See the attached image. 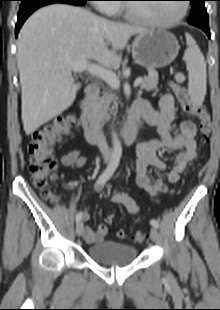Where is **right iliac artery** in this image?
<instances>
[{
  "label": "right iliac artery",
  "mask_w": 220,
  "mask_h": 310,
  "mask_svg": "<svg viewBox=\"0 0 220 310\" xmlns=\"http://www.w3.org/2000/svg\"><path fill=\"white\" fill-rule=\"evenodd\" d=\"M120 157H121V149L119 148L114 149L110 162L108 166L106 167V169L103 171V173L98 178V182L105 183L108 179H110V177L113 175V173L115 172L119 164ZM81 219H82V214L77 213L76 222H79Z\"/></svg>",
  "instance_id": "82829eb1"
}]
</instances>
